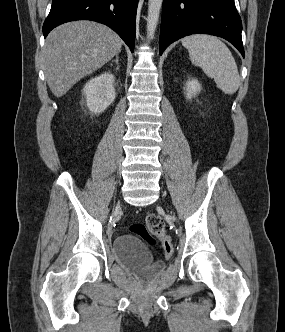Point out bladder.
Returning a JSON list of instances; mask_svg holds the SVG:
<instances>
[{
	"label": "bladder",
	"mask_w": 285,
	"mask_h": 332,
	"mask_svg": "<svg viewBox=\"0 0 285 332\" xmlns=\"http://www.w3.org/2000/svg\"><path fill=\"white\" fill-rule=\"evenodd\" d=\"M112 252L118 264L143 279H150L164 268V263L154 259L144 244L132 234L117 236Z\"/></svg>",
	"instance_id": "1"
}]
</instances>
